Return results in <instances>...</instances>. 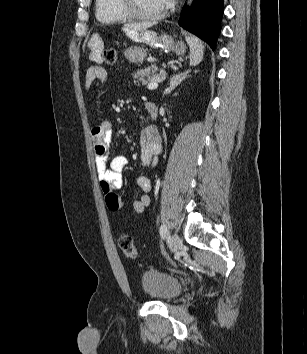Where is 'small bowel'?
Instances as JSON below:
<instances>
[{"label":"small bowel","instance_id":"obj_1","mask_svg":"<svg viewBox=\"0 0 307 354\" xmlns=\"http://www.w3.org/2000/svg\"><path fill=\"white\" fill-rule=\"evenodd\" d=\"M124 35L125 38H138L139 34L137 29H126ZM89 49V60L92 65L88 67L85 74V86L87 89L96 81L102 84H107L108 82L107 70L102 66V41L92 40ZM146 111L150 117L154 118L156 116L154 105H146ZM91 135L95 148L96 171L105 196L106 205L111 211H118L124 206V200L116 193V190L122 186V172L127 165V158L123 155H116L109 160V149L113 135V126L110 120L104 119L98 125H95L91 130ZM139 144L143 167L152 168L155 166L162 151L157 128L149 125L142 129L139 135ZM135 184L142 191V195L133 202V210L136 213H143L150 205L149 193L152 189V183L145 176H137Z\"/></svg>","mask_w":307,"mask_h":354}]
</instances>
